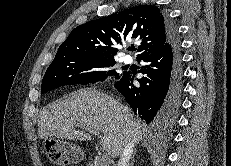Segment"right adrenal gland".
<instances>
[{
    "instance_id": "obj_1",
    "label": "right adrenal gland",
    "mask_w": 231,
    "mask_h": 166,
    "mask_svg": "<svg viewBox=\"0 0 231 166\" xmlns=\"http://www.w3.org/2000/svg\"><path fill=\"white\" fill-rule=\"evenodd\" d=\"M135 154H136V150H135V152H134V155H133V160L131 161V164H130V166H134V162H135V160H134V156H135Z\"/></svg>"
}]
</instances>
